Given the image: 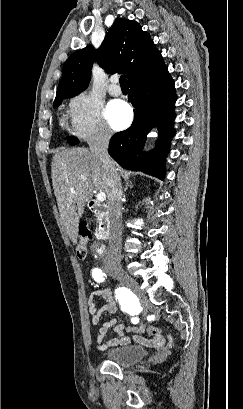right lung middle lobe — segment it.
<instances>
[{"mask_svg":"<svg viewBox=\"0 0 243 409\" xmlns=\"http://www.w3.org/2000/svg\"><path fill=\"white\" fill-rule=\"evenodd\" d=\"M64 98H68V96H63L59 100L55 101L54 104H53V107L57 108L61 104V102H62V100ZM69 143H70V145H75V144L79 143V141L77 139H72Z\"/></svg>","mask_w":243,"mask_h":409,"instance_id":"dd1d6c3e","label":"right lung middle lobe"}]
</instances>
